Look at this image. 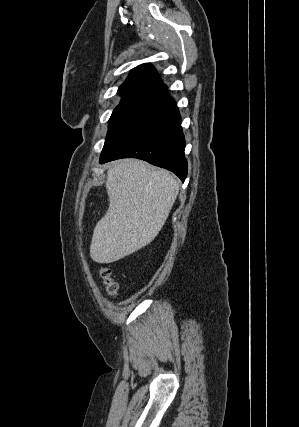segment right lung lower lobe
<instances>
[{
    "instance_id": "right-lung-lower-lobe-1",
    "label": "right lung lower lobe",
    "mask_w": 299,
    "mask_h": 427,
    "mask_svg": "<svg viewBox=\"0 0 299 427\" xmlns=\"http://www.w3.org/2000/svg\"><path fill=\"white\" fill-rule=\"evenodd\" d=\"M185 139L180 114L172 97L156 102L133 128L101 153L100 163L134 157L166 168L182 181L187 176Z\"/></svg>"
}]
</instances>
